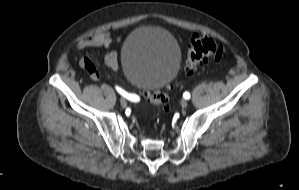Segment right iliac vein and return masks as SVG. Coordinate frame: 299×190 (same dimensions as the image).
<instances>
[{
    "label": "right iliac vein",
    "mask_w": 299,
    "mask_h": 190,
    "mask_svg": "<svg viewBox=\"0 0 299 190\" xmlns=\"http://www.w3.org/2000/svg\"><path fill=\"white\" fill-rule=\"evenodd\" d=\"M120 103H121V105H122L123 107H125V106L127 105V101H126V99H124V98H122V99L120 100Z\"/></svg>",
    "instance_id": "1"
}]
</instances>
